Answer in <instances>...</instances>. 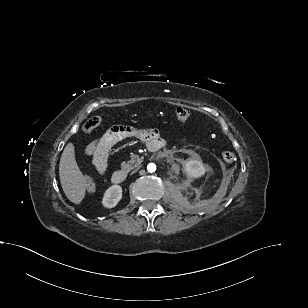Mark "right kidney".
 <instances>
[{
  "label": "right kidney",
  "instance_id": "ca27d5eb",
  "mask_svg": "<svg viewBox=\"0 0 308 308\" xmlns=\"http://www.w3.org/2000/svg\"><path fill=\"white\" fill-rule=\"evenodd\" d=\"M122 198V188L120 185L110 186L104 193L102 204L106 208L115 207Z\"/></svg>",
  "mask_w": 308,
  "mask_h": 308
}]
</instances>
